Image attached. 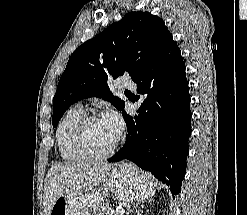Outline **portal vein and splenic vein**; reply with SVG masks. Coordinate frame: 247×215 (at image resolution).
I'll return each mask as SVG.
<instances>
[{
	"label": "portal vein and splenic vein",
	"instance_id": "18ae733b",
	"mask_svg": "<svg viewBox=\"0 0 247 215\" xmlns=\"http://www.w3.org/2000/svg\"><path fill=\"white\" fill-rule=\"evenodd\" d=\"M116 211H117V213L119 215H124L125 214V210L123 208H117Z\"/></svg>",
	"mask_w": 247,
	"mask_h": 215
}]
</instances>
